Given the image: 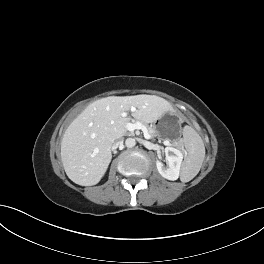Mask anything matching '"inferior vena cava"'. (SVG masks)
<instances>
[{"label":"inferior vena cava","instance_id":"obj_1","mask_svg":"<svg viewBox=\"0 0 264 264\" xmlns=\"http://www.w3.org/2000/svg\"><path fill=\"white\" fill-rule=\"evenodd\" d=\"M121 148L123 147V139L120 137V138H117L112 146V149H116V148Z\"/></svg>","mask_w":264,"mask_h":264}]
</instances>
